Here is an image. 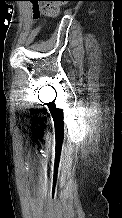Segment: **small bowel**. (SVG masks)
<instances>
[{"label":"small bowel","mask_w":122,"mask_h":218,"mask_svg":"<svg viewBox=\"0 0 122 218\" xmlns=\"http://www.w3.org/2000/svg\"><path fill=\"white\" fill-rule=\"evenodd\" d=\"M35 7H40V4H39V3L36 4V3L33 2V9H34Z\"/></svg>","instance_id":"c3829d8e"}]
</instances>
